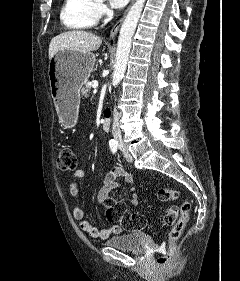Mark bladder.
<instances>
[{
    "mask_svg": "<svg viewBox=\"0 0 240 281\" xmlns=\"http://www.w3.org/2000/svg\"><path fill=\"white\" fill-rule=\"evenodd\" d=\"M145 237L142 232L118 234L108 239L105 244L123 251L139 252L144 247Z\"/></svg>",
    "mask_w": 240,
    "mask_h": 281,
    "instance_id": "31cf9c89",
    "label": "bladder"
}]
</instances>
